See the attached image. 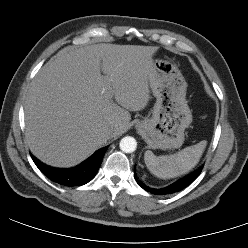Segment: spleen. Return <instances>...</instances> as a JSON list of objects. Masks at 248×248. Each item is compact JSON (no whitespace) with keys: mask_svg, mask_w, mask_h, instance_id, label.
Wrapping results in <instances>:
<instances>
[{"mask_svg":"<svg viewBox=\"0 0 248 248\" xmlns=\"http://www.w3.org/2000/svg\"><path fill=\"white\" fill-rule=\"evenodd\" d=\"M206 145L207 142L203 140L169 156H156L148 150L144 155L145 164L159 178H174L188 173L197 165Z\"/></svg>","mask_w":248,"mask_h":248,"instance_id":"obj_1","label":"spleen"}]
</instances>
